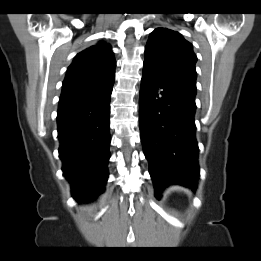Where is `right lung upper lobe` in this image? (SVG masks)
<instances>
[{
  "label": "right lung upper lobe",
  "instance_id": "right-lung-upper-lobe-1",
  "mask_svg": "<svg viewBox=\"0 0 261 261\" xmlns=\"http://www.w3.org/2000/svg\"><path fill=\"white\" fill-rule=\"evenodd\" d=\"M115 65L111 47L103 41L83 50L67 69L61 97L112 85Z\"/></svg>",
  "mask_w": 261,
  "mask_h": 261
}]
</instances>
